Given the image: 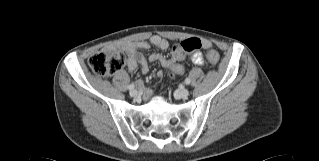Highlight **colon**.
<instances>
[{
	"instance_id": "1",
	"label": "colon",
	"mask_w": 319,
	"mask_h": 161,
	"mask_svg": "<svg viewBox=\"0 0 319 161\" xmlns=\"http://www.w3.org/2000/svg\"><path fill=\"white\" fill-rule=\"evenodd\" d=\"M201 48V41L197 38H188L177 43L173 48L172 60L174 63H180L186 53H192ZM208 60L216 64L220 60L217 51L211 50L207 54ZM126 63V57L122 52H103L90 57L89 66L94 73L100 76L113 75L123 69ZM173 75V74H172Z\"/></svg>"
}]
</instances>
